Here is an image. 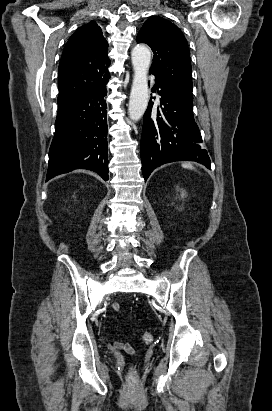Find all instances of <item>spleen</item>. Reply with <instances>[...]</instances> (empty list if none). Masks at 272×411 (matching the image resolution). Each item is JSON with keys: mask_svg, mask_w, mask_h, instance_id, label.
Wrapping results in <instances>:
<instances>
[{"mask_svg": "<svg viewBox=\"0 0 272 411\" xmlns=\"http://www.w3.org/2000/svg\"><path fill=\"white\" fill-rule=\"evenodd\" d=\"M182 167H183V168H187V169H191V170H192V169H195L190 163H183V164H182Z\"/></svg>", "mask_w": 272, "mask_h": 411, "instance_id": "spleen-1", "label": "spleen"}]
</instances>
